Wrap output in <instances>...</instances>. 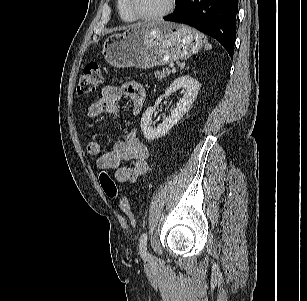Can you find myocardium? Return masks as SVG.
I'll return each instance as SVG.
<instances>
[{"instance_id": "obj_1", "label": "myocardium", "mask_w": 307, "mask_h": 301, "mask_svg": "<svg viewBox=\"0 0 307 301\" xmlns=\"http://www.w3.org/2000/svg\"><path fill=\"white\" fill-rule=\"evenodd\" d=\"M126 1H127V5L131 13L133 14V16L137 20H142V21H156V20H159V19H162L168 16L175 9L176 2H177V0H169L168 6L161 12H158L152 15H144V14H141L138 11V9L135 7L133 0H126Z\"/></svg>"}]
</instances>
